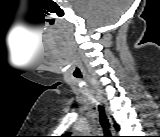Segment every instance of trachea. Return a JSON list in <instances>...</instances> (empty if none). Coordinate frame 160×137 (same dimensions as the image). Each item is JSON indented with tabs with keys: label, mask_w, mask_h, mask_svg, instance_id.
I'll return each instance as SVG.
<instances>
[{
	"label": "trachea",
	"mask_w": 160,
	"mask_h": 137,
	"mask_svg": "<svg viewBox=\"0 0 160 137\" xmlns=\"http://www.w3.org/2000/svg\"><path fill=\"white\" fill-rule=\"evenodd\" d=\"M77 77H81V75L77 76ZM98 109H99L100 124H101V126L104 130V134H105L104 137H112L109 132V122H108V119L105 115L104 108L102 106H99Z\"/></svg>",
	"instance_id": "trachea-1"
}]
</instances>
